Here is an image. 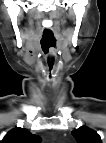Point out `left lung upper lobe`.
Segmentation results:
<instances>
[{"instance_id": "5c2ea615", "label": "left lung upper lobe", "mask_w": 106, "mask_h": 143, "mask_svg": "<svg viewBox=\"0 0 106 143\" xmlns=\"http://www.w3.org/2000/svg\"><path fill=\"white\" fill-rule=\"evenodd\" d=\"M72 135L76 138L78 143H102L100 136L87 127L72 131Z\"/></svg>"}]
</instances>
